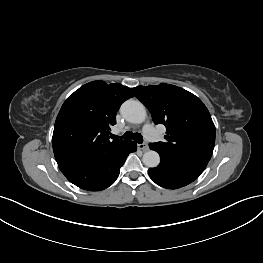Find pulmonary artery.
Masks as SVG:
<instances>
[{
  "label": "pulmonary artery",
  "instance_id": "1",
  "mask_svg": "<svg viewBox=\"0 0 263 263\" xmlns=\"http://www.w3.org/2000/svg\"><path fill=\"white\" fill-rule=\"evenodd\" d=\"M144 134L150 142H156L158 140L157 132L150 125L144 127Z\"/></svg>",
  "mask_w": 263,
  "mask_h": 263
}]
</instances>
